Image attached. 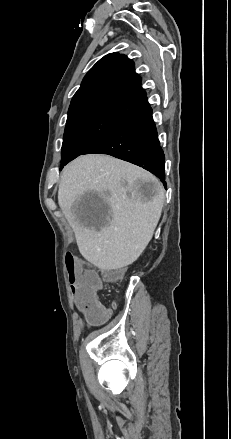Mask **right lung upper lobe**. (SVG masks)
<instances>
[{
    "label": "right lung upper lobe",
    "mask_w": 231,
    "mask_h": 439,
    "mask_svg": "<svg viewBox=\"0 0 231 439\" xmlns=\"http://www.w3.org/2000/svg\"><path fill=\"white\" fill-rule=\"evenodd\" d=\"M148 104L134 63L125 55L110 53L86 74L72 98L68 117L103 114L127 118Z\"/></svg>",
    "instance_id": "1"
}]
</instances>
